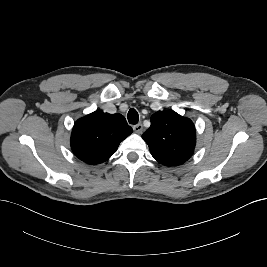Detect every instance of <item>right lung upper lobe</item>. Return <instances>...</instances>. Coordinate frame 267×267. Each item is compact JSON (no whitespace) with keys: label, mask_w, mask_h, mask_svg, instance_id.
Returning <instances> with one entry per match:
<instances>
[{"label":"right lung upper lobe","mask_w":267,"mask_h":267,"mask_svg":"<svg viewBox=\"0 0 267 267\" xmlns=\"http://www.w3.org/2000/svg\"><path fill=\"white\" fill-rule=\"evenodd\" d=\"M131 133L124 116L98 110L75 122L71 148L77 158L96 165L108 160Z\"/></svg>","instance_id":"obj_1"}]
</instances>
